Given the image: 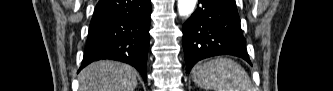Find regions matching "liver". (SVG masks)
Masks as SVG:
<instances>
[{
    "mask_svg": "<svg viewBox=\"0 0 333 91\" xmlns=\"http://www.w3.org/2000/svg\"><path fill=\"white\" fill-rule=\"evenodd\" d=\"M79 83L80 91H134L137 72L129 65L103 60L85 67Z\"/></svg>",
    "mask_w": 333,
    "mask_h": 91,
    "instance_id": "1",
    "label": "liver"
}]
</instances>
